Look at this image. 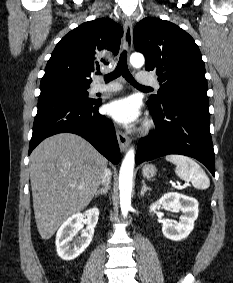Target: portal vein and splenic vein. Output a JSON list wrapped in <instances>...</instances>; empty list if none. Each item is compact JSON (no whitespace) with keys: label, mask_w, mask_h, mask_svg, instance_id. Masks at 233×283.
Segmentation results:
<instances>
[{"label":"portal vein and splenic vein","mask_w":233,"mask_h":283,"mask_svg":"<svg viewBox=\"0 0 233 283\" xmlns=\"http://www.w3.org/2000/svg\"><path fill=\"white\" fill-rule=\"evenodd\" d=\"M172 187L177 188V184L175 182H171ZM79 188H81V186H79Z\"/></svg>","instance_id":"18ae733b"}]
</instances>
